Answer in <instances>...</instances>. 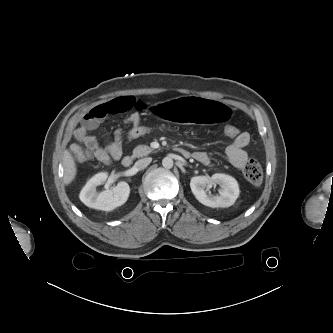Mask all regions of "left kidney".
<instances>
[{"mask_svg": "<svg viewBox=\"0 0 333 333\" xmlns=\"http://www.w3.org/2000/svg\"><path fill=\"white\" fill-rule=\"evenodd\" d=\"M215 184L221 187L219 195H208L205 189ZM190 187L200 203L212 208L232 206L240 193L236 179L220 173H216L211 177L207 175L192 177Z\"/></svg>", "mask_w": 333, "mask_h": 333, "instance_id": "left-kidney-1", "label": "left kidney"}]
</instances>
